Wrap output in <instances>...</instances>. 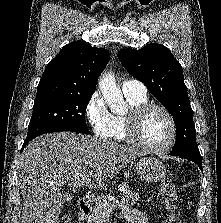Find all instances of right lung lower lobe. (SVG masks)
Segmentation results:
<instances>
[{"mask_svg": "<svg viewBox=\"0 0 221 223\" xmlns=\"http://www.w3.org/2000/svg\"><path fill=\"white\" fill-rule=\"evenodd\" d=\"M32 139H26L25 141H24V144H23V146H22V149H21V152H22V150L25 148V146L29 143V141H31Z\"/></svg>", "mask_w": 221, "mask_h": 223, "instance_id": "right-lung-lower-lobe-1", "label": "right lung lower lobe"}]
</instances>
